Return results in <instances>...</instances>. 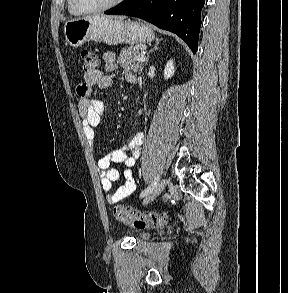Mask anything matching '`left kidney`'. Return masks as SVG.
Here are the masks:
<instances>
[{"label": "left kidney", "instance_id": "1", "mask_svg": "<svg viewBox=\"0 0 288 293\" xmlns=\"http://www.w3.org/2000/svg\"><path fill=\"white\" fill-rule=\"evenodd\" d=\"M175 73L174 61L171 59L167 62L165 69H164V78L168 80L171 78Z\"/></svg>", "mask_w": 288, "mask_h": 293}]
</instances>
